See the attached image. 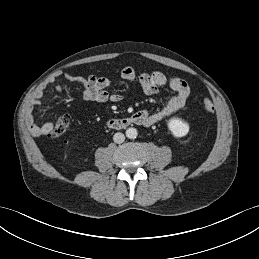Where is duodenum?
Instances as JSON below:
<instances>
[{
	"label": "duodenum",
	"instance_id": "duodenum-1",
	"mask_svg": "<svg viewBox=\"0 0 259 259\" xmlns=\"http://www.w3.org/2000/svg\"><path fill=\"white\" fill-rule=\"evenodd\" d=\"M137 123V118L135 116L125 117L120 119H112L107 122L108 127L113 129H121L132 124Z\"/></svg>",
	"mask_w": 259,
	"mask_h": 259
}]
</instances>
